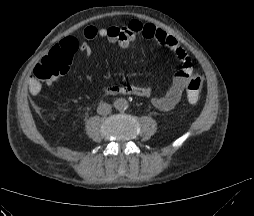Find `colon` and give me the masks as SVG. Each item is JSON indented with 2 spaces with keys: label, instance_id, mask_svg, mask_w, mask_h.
<instances>
[{
  "label": "colon",
  "instance_id": "1",
  "mask_svg": "<svg viewBox=\"0 0 254 216\" xmlns=\"http://www.w3.org/2000/svg\"><path fill=\"white\" fill-rule=\"evenodd\" d=\"M70 65V54L65 51L51 49L49 53L36 65L35 78L41 84H52L64 74ZM203 87V77L192 74L189 77L186 94L189 103H195L199 99Z\"/></svg>",
  "mask_w": 254,
  "mask_h": 216
}]
</instances>
